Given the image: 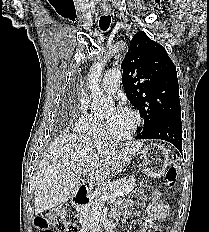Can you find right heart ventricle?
Masks as SVG:
<instances>
[{"label": "right heart ventricle", "mask_w": 209, "mask_h": 232, "mask_svg": "<svg viewBox=\"0 0 209 232\" xmlns=\"http://www.w3.org/2000/svg\"><path fill=\"white\" fill-rule=\"evenodd\" d=\"M78 130L88 139L103 140L106 138L102 129V117L96 112L87 113Z\"/></svg>", "instance_id": "obj_1"}]
</instances>
